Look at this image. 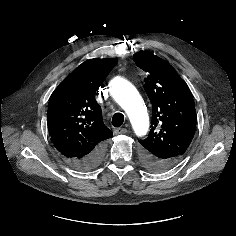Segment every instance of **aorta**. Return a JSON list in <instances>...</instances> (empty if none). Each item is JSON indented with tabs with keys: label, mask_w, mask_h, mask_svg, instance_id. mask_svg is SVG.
<instances>
[{
	"label": "aorta",
	"mask_w": 236,
	"mask_h": 236,
	"mask_svg": "<svg viewBox=\"0 0 236 236\" xmlns=\"http://www.w3.org/2000/svg\"><path fill=\"white\" fill-rule=\"evenodd\" d=\"M110 91L127 114L136 136L146 135L149 116L145 103L134 85L124 78L116 77L110 82Z\"/></svg>",
	"instance_id": "obj_1"
}]
</instances>
